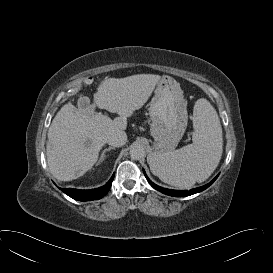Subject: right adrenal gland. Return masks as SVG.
Wrapping results in <instances>:
<instances>
[{
	"label": "right adrenal gland",
	"instance_id": "2a0ac1e0",
	"mask_svg": "<svg viewBox=\"0 0 273 273\" xmlns=\"http://www.w3.org/2000/svg\"><path fill=\"white\" fill-rule=\"evenodd\" d=\"M112 149H115V148H114V147H109V148L103 150V152H102V154H101V156H100V158H99V160H98V162H97V165H99L100 162H102V161L104 160L105 153H106V152H109V151L112 150Z\"/></svg>",
	"mask_w": 273,
	"mask_h": 273
}]
</instances>
